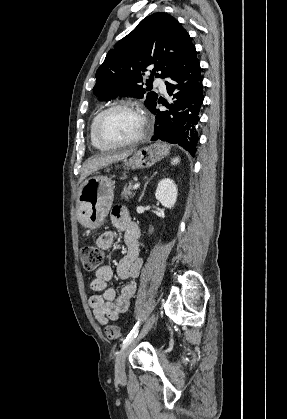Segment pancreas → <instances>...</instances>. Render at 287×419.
<instances>
[{"label":"pancreas","mask_w":287,"mask_h":419,"mask_svg":"<svg viewBox=\"0 0 287 419\" xmlns=\"http://www.w3.org/2000/svg\"><path fill=\"white\" fill-rule=\"evenodd\" d=\"M134 195L135 192H133V183L129 182L128 185H125L124 189L121 191V196L128 200V198H132Z\"/></svg>","instance_id":"pancreas-1"}]
</instances>
